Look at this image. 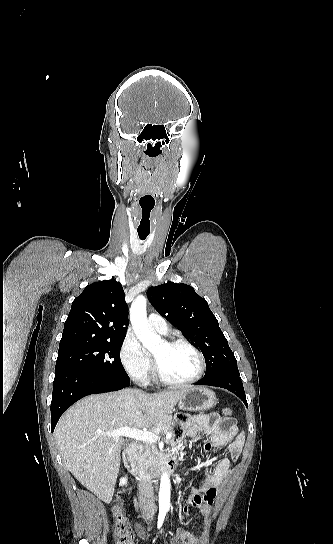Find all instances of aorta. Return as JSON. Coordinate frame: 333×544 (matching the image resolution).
I'll return each mask as SVG.
<instances>
[{"instance_id":"aorta-1","label":"aorta","mask_w":333,"mask_h":544,"mask_svg":"<svg viewBox=\"0 0 333 544\" xmlns=\"http://www.w3.org/2000/svg\"><path fill=\"white\" fill-rule=\"evenodd\" d=\"M146 298L139 295L133 301L130 308V320L133 330L143 346L149 351L160 347L163 343L161 337L154 333L147 323ZM171 486L167 473H163L159 488V506L168 509L170 507Z\"/></svg>"}]
</instances>
